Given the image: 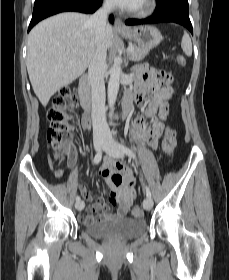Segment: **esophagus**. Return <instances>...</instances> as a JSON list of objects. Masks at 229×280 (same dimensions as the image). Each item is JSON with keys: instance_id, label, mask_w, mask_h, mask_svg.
Listing matches in <instances>:
<instances>
[{"instance_id": "1", "label": "esophagus", "mask_w": 229, "mask_h": 280, "mask_svg": "<svg viewBox=\"0 0 229 280\" xmlns=\"http://www.w3.org/2000/svg\"><path fill=\"white\" fill-rule=\"evenodd\" d=\"M115 29L120 31H127L128 27L123 23V21L120 18H116Z\"/></svg>"}]
</instances>
